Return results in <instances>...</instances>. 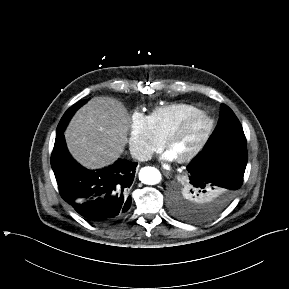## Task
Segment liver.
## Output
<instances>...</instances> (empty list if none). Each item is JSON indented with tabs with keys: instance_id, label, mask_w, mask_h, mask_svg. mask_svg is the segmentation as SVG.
Returning <instances> with one entry per match:
<instances>
[{
	"instance_id": "6515ba94",
	"label": "liver",
	"mask_w": 289,
	"mask_h": 289,
	"mask_svg": "<svg viewBox=\"0 0 289 289\" xmlns=\"http://www.w3.org/2000/svg\"><path fill=\"white\" fill-rule=\"evenodd\" d=\"M129 126L130 116L121 102L94 97L69 122L65 131L67 148L84 167L103 168L123 153Z\"/></svg>"
}]
</instances>
